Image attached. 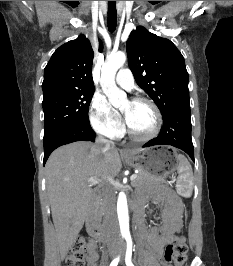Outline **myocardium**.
Listing matches in <instances>:
<instances>
[{"label": "myocardium", "mask_w": 233, "mask_h": 266, "mask_svg": "<svg viewBox=\"0 0 233 266\" xmlns=\"http://www.w3.org/2000/svg\"><path fill=\"white\" fill-rule=\"evenodd\" d=\"M131 101L133 102H142L148 104L154 111L155 114V124L151 132H149L146 135H138L132 131L130 126L128 125V122H126V131L128 136L133 139L134 141L138 142H146L154 139L159 134L162 124H163V117L161 110L159 109L158 105L150 98L143 97V96H137L134 97Z\"/></svg>", "instance_id": "f54148a6"}]
</instances>
